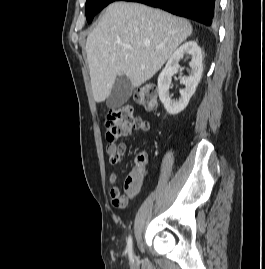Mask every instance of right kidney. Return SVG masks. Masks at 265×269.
Returning <instances> with one entry per match:
<instances>
[{
	"instance_id": "1",
	"label": "right kidney",
	"mask_w": 265,
	"mask_h": 269,
	"mask_svg": "<svg viewBox=\"0 0 265 269\" xmlns=\"http://www.w3.org/2000/svg\"><path fill=\"white\" fill-rule=\"evenodd\" d=\"M185 54L191 56L189 63L191 72L188 77L181 78V83L185 85V88L180 90L181 97L178 100H172L169 94L171 77L178 72L179 61ZM202 60L201 48L196 41L190 40L181 45L171 55L165 68L160 73L158 77L159 98L170 115H176L187 107L203 73Z\"/></svg>"
}]
</instances>
